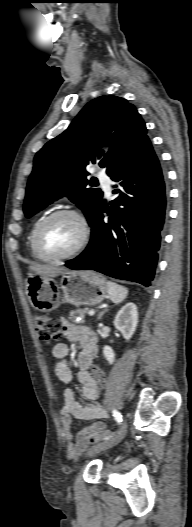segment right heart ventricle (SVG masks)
Here are the masks:
<instances>
[{
  "label": "right heart ventricle",
  "instance_id": "e07e8e85",
  "mask_svg": "<svg viewBox=\"0 0 192 527\" xmlns=\"http://www.w3.org/2000/svg\"><path fill=\"white\" fill-rule=\"evenodd\" d=\"M43 218H40L38 219L35 224L33 225L32 227V230L30 232V235H29V239H28V246H29V250H30V253L31 255L34 257V258H38L36 252H35V249H34V244H33V239H34V232H35V229L37 227V225L39 224V222L42 220Z\"/></svg>",
  "mask_w": 192,
  "mask_h": 527
}]
</instances>
